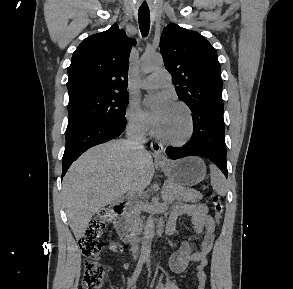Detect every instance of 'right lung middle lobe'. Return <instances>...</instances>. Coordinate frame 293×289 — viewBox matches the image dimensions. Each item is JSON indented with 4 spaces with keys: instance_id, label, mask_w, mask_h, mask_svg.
<instances>
[{
    "instance_id": "right-lung-middle-lobe-1",
    "label": "right lung middle lobe",
    "mask_w": 293,
    "mask_h": 289,
    "mask_svg": "<svg viewBox=\"0 0 293 289\" xmlns=\"http://www.w3.org/2000/svg\"><path fill=\"white\" fill-rule=\"evenodd\" d=\"M128 99V92H122L89 95L70 100L65 135L91 124L125 117Z\"/></svg>"
}]
</instances>
